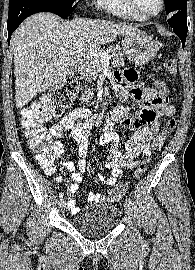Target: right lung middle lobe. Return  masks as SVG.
<instances>
[{
    "instance_id": "dd1d6c3e",
    "label": "right lung middle lobe",
    "mask_w": 195,
    "mask_h": 270,
    "mask_svg": "<svg viewBox=\"0 0 195 270\" xmlns=\"http://www.w3.org/2000/svg\"><path fill=\"white\" fill-rule=\"evenodd\" d=\"M53 5L54 8V14L60 16V17H67L70 15L77 3L76 0H47Z\"/></svg>"
}]
</instances>
